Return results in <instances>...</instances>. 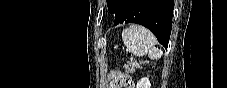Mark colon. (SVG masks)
Here are the masks:
<instances>
[{
    "mask_svg": "<svg viewBox=\"0 0 227 88\" xmlns=\"http://www.w3.org/2000/svg\"><path fill=\"white\" fill-rule=\"evenodd\" d=\"M125 88H135L134 84L131 81H127L124 86Z\"/></svg>",
    "mask_w": 227,
    "mask_h": 88,
    "instance_id": "1",
    "label": "colon"
}]
</instances>
